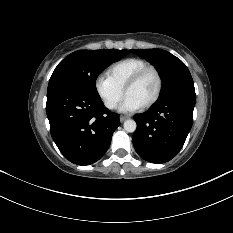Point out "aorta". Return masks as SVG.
Masks as SVG:
<instances>
[{
	"label": "aorta",
	"instance_id": "aorta-1",
	"mask_svg": "<svg viewBox=\"0 0 233 233\" xmlns=\"http://www.w3.org/2000/svg\"><path fill=\"white\" fill-rule=\"evenodd\" d=\"M136 128H137V124L134 120L128 119L124 122V130L126 132H130V133L135 132Z\"/></svg>",
	"mask_w": 233,
	"mask_h": 233
}]
</instances>
